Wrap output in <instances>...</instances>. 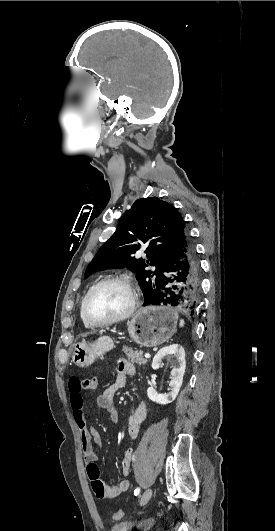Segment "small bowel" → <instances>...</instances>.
Returning a JSON list of instances; mask_svg holds the SVG:
<instances>
[{"instance_id":"small-bowel-1","label":"small bowel","mask_w":275,"mask_h":531,"mask_svg":"<svg viewBox=\"0 0 275 531\" xmlns=\"http://www.w3.org/2000/svg\"><path fill=\"white\" fill-rule=\"evenodd\" d=\"M116 370L117 375L115 380L107 386L96 399L97 406L100 409L105 410L108 413L110 420L114 423H117L120 418L119 412L114 405V397L119 390L126 386L128 377L133 376L136 373L135 366L130 361L123 358L117 359ZM67 379L69 382L67 386L68 393L79 394L82 389L80 385L83 379L82 375L80 373H70ZM70 405L73 420L79 430L83 457L86 462V472L91 483V488L96 497L100 500L108 501L115 499L129 489L130 482L127 479H123L116 485H106L102 481L99 468L96 464L98 453L94 449V445L99 446L101 440L95 429L88 425L86 421L81 395H70ZM147 414V404L144 401H140L128 422V434L131 438H137L140 436L144 428ZM134 456L135 451L132 448H127L123 452L121 458V472L124 476L130 474Z\"/></svg>"}]
</instances>
